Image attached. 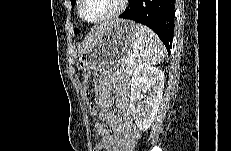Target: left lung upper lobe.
Listing matches in <instances>:
<instances>
[{
    "label": "left lung upper lobe",
    "mask_w": 231,
    "mask_h": 151,
    "mask_svg": "<svg viewBox=\"0 0 231 151\" xmlns=\"http://www.w3.org/2000/svg\"><path fill=\"white\" fill-rule=\"evenodd\" d=\"M76 0H71L72 7H74ZM135 2V0H129V6L132 5ZM79 29H75V34L79 33Z\"/></svg>",
    "instance_id": "1"
}]
</instances>
